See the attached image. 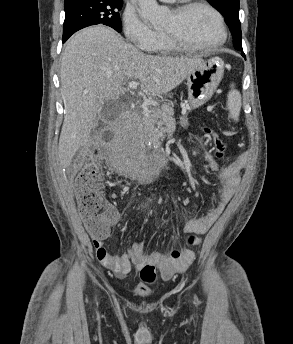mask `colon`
<instances>
[{"label": "colon", "mask_w": 293, "mask_h": 344, "mask_svg": "<svg viewBox=\"0 0 293 344\" xmlns=\"http://www.w3.org/2000/svg\"><path fill=\"white\" fill-rule=\"evenodd\" d=\"M205 133L212 140L218 155L224 150V143L218 135L209 129ZM111 134L106 138L110 139ZM103 171L99 164L88 163L78 174L75 181V194L78 201L79 212L84 220L88 233L94 239H102L107 236L118 219L117 211L102 196ZM195 237L188 238V244H195ZM173 259L181 257V251L173 249L171 251ZM140 278L145 284H152L156 280V270L153 265H147L140 271Z\"/></svg>", "instance_id": "colon-1"}]
</instances>
